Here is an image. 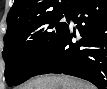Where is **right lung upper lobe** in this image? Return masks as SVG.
Returning a JSON list of instances; mask_svg holds the SVG:
<instances>
[{"mask_svg":"<svg viewBox=\"0 0 107 89\" xmlns=\"http://www.w3.org/2000/svg\"><path fill=\"white\" fill-rule=\"evenodd\" d=\"M78 0H14L7 16L11 26L34 18L69 12Z\"/></svg>","mask_w":107,"mask_h":89,"instance_id":"1","label":"right lung upper lobe"}]
</instances>
